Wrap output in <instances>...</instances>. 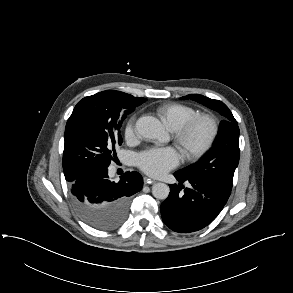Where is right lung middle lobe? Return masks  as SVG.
Returning a JSON list of instances; mask_svg holds the SVG:
<instances>
[{
  "instance_id": "right-lung-middle-lobe-1",
  "label": "right lung middle lobe",
  "mask_w": 293,
  "mask_h": 293,
  "mask_svg": "<svg viewBox=\"0 0 293 293\" xmlns=\"http://www.w3.org/2000/svg\"><path fill=\"white\" fill-rule=\"evenodd\" d=\"M139 105L130 95L106 90L83 98L75 106L66 124L63 153V170L69 183L90 169L110 165L116 156L115 146L122 144V123ZM76 211L98 229H114L123 222L118 214L97 216Z\"/></svg>"
}]
</instances>
